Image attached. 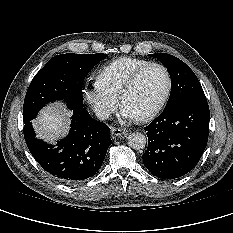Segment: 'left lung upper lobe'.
<instances>
[{
	"instance_id": "5c2ea615",
	"label": "left lung upper lobe",
	"mask_w": 233,
	"mask_h": 233,
	"mask_svg": "<svg viewBox=\"0 0 233 233\" xmlns=\"http://www.w3.org/2000/svg\"><path fill=\"white\" fill-rule=\"evenodd\" d=\"M151 56L163 63L171 77V94L165 108L185 101H207L198 78L183 61L167 53Z\"/></svg>"
}]
</instances>
